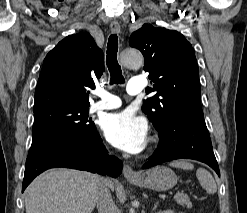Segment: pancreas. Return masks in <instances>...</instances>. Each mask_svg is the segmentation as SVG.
I'll list each match as a JSON object with an SVG mask.
<instances>
[{
    "label": "pancreas",
    "instance_id": "pancreas-1",
    "mask_svg": "<svg viewBox=\"0 0 247 213\" xmlns=\"http://www.w3.org/2000/svg\"><path fill=\"white\" fill-rule=\"evenodd\" d=\"M175 198V201L181 205V206H186L187 208H191L192 207V203L190 202V199L188 197V195L186 194H179L177 195Z\"/></svg>",
    "mask_w": 247,
    "mask_h": 213
}]
</instances>
